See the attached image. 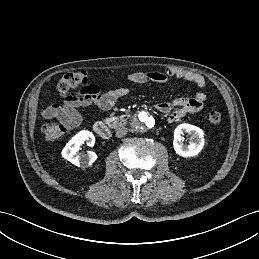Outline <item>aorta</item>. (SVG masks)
<instances>
[{
  "mask_svg": "<svg viewBox=\"0 0 259 259\" xmlns=\"http://www.w3.org/2000/svg\"><path fill=\"white\" fill-rule=\"evenodd\" d=\"M155 124V119L149 112H140L133 120L134 127L145 130L152 128Z\"/></svg>",
  "mask_w": 259,
  "mask_h": 259,
  "instance_id": "1",
  "label": "aorta"
}]
</instances>
